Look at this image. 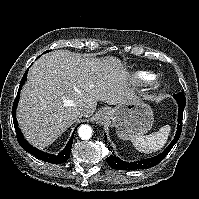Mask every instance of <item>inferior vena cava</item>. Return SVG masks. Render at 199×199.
Here are the masks:
<instances>
[{
	"label": "inferior vena cava",
	"mask_w": 199,
	"mask_h": 199,
	"mask_svg": "<svg viewBox=\"0 0 199 199\" xmlns=\"http://www.w3.org/2000/svg\"><path fill=\"white\" fill-rule=\"evenodd\" d=\"M86 112V109L85 107H78L77 108V113L80 115V116H83Z\"/></svg>",
	"instance_id": "obj_1"
}]
</instances>
